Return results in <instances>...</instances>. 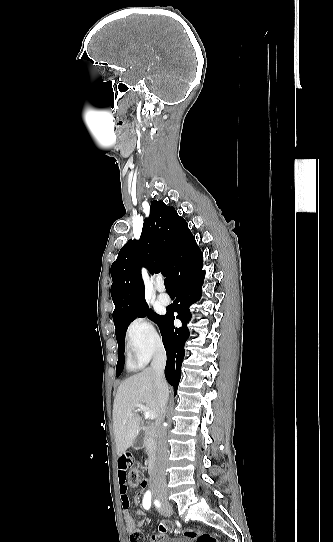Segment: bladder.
Segmentation results:
<instances>
[{
    "instance_id": "bladder-1",
    "label": "bladder",
    "mask_w": 333,
    "mask_h": 542,
    "mask_svg": "<svg viewBox=\"0 0 333 542\" xmlns=\"http://www.w3.org/2000/svg\"><path fill=\"white\" fill-rule=\"evenodd\" d=\"M166 542H195L194 539H188L179 536H172Z\"/></svg>"
}]
</instances>
